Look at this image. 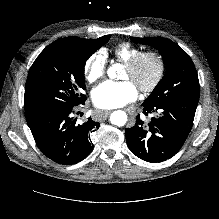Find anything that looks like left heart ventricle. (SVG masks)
I'll return each mask as SVG.
<instances>
[{
  "label": "left heart ventricle",
  "mask_w": 219,
  "mask_h": 219,
  "mask_svg": "<svg viewBox=\"0 0 219 219\" xmlns=\"http://www.w3.org/2000/svg\"><path fill=\"white\" fill-rule=\"evenodd\" d=\"M155 72V62L152 59H147L135 72H130L124 68L122 79L129 80L138 87L150 83L155 75Z\"/></svg>",
  "instance_id": "1"
}]
</instances>
